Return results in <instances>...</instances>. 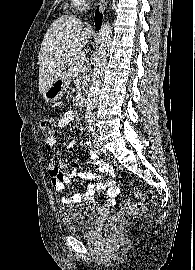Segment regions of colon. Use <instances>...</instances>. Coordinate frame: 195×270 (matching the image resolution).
Listing matches in <instances>:
<instances>
[{
	"instance_id": "5ec220e1",
	"label": "colon",
	"mask_w": 195,
	"mask_h": 270,
	"mask_svg": "<svg viewBox=\"0 0 195 270\" xmlns=\"http://www.w3.org/2000/svg\"><path fill=\"white\" fill-rule=\"evenodd\" d=\"M39 127L42 132V134L46 137H51L55 131V122L52 118H42L39 122ZM134 194L137 198H142L143 193L139 189H134ZM148 210V207L146 204L142 202H136L133 204L125 205L120 210L117 211L115 215L110 217L106 223V229L110 230L112 229L122 218L135 214L140 213Z\"/></svg>"
}]
</instances>
